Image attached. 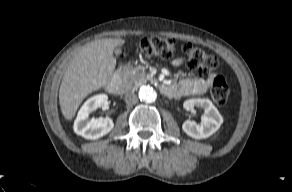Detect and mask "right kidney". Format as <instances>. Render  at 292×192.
<instances>
[{
    "label": "right kidney",
    "instance_id": "obj_1",
    "mask_svg": "<svg viewBox=\"0 0 292 192\" xmlns=\"http://www.w3.org/2000/svg\"><path fill=\"white\" fill-rule=\"evenodd\" d=\"M108 105V96L98 94L89 98L81 107L74 122V132L86 139L95 140L108 134L114 127L111 118H92L89 115L99 107L105 108Z\"/></svg>",
    "mask_w": 292,
    "mask_h": 192
}]
</instances>
